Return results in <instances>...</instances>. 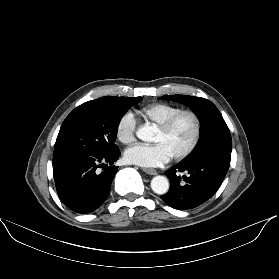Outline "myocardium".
<instances>
[{
  "label": "myocardium",
  "instance_id": "obj_1",
  "mask_svg": "<svg viewBox=\"0 0 279 279\" xmlns=\"http://www.w3.org/2000/svg\"><path fill=\"white\" fill-rule=\"evenodd\" d=\"M183 115H188L192 118L193 123H194V134H193L191 142L183 151L172 155V158L175 160H180V159L187 157L196 148V146L199 142V139H200V135H201L200 118L197 115V113L194 112L193 110H180L177 113L170 116L166 121H164L162 124H160L158 126L159 131H161L162 133H167L173 127L175 122Z\"/></svg>",
  "mask_w": 279,
  "mask_h": 279
}]
</instances>
